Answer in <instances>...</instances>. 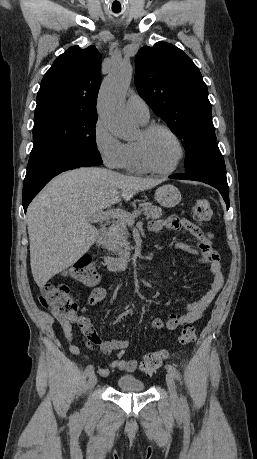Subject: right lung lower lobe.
I'll list each match as a JSON object with an SVG mask.
<instances>
[{"label":"right lung lower lobe","mask_w":257,"mask_h":459,"mask_svg":"<svg viewBox=\"0 0 257 459\" xmlns=\"http://www.w3.org/2000/svg\"><path fill=\"white\" fill-rule=\"evenodd\" d=\"M100 164H102V159H96L83 152L73 150H55L30 155L23 184L24 211L26 212L32 199L54 176L74 168Z\"/></svg>","instance_id":"1"}]
</instances>
